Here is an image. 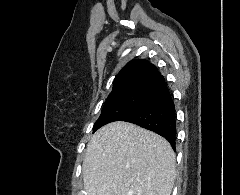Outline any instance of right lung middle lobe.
<instances>
[{
	"mask_svg": "<svg viewBox=\"0 0 240 195\" xmlns=\"http://www.w3.org/2000/svg\"><path fill=\"white\" fill-rule=\"evenodd\" d=\"M147 94L143 93H123L109 95L103 106L102 112L98 120L95 122L94 131L113 121L128 114L130 111L138 107Z\"/></svg>",
	"mask_w": 240,
	"mask_h": 195,
	"instance_id": "obj_1",
	"label": "right lung middle lobe"
}]
</instances>
